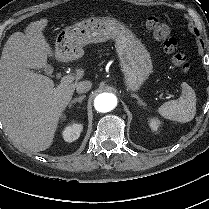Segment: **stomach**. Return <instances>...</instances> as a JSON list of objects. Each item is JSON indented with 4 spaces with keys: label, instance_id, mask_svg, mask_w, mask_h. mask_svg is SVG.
I'll return each mask as SVG.
<instances>
[{
    "label": "stomach",
    "instance_id": "0dacf381",
    "mask_svg": "<svg viewBox=\"0 0 209 209\" xmlns=\"http://www.w3.org/2000/svg\"><path fill=\"white\" fill-rule=\"evenodd\" d=\"M115 40V48L128 90H138L152 72L149 52L136 35L115 18L90 17L66 27L56 36L55 53L63 60L80 58L83 46Z\"/></svg>",
    "mask_w": 209,
    "mask_h": 209
}]
</instances>
